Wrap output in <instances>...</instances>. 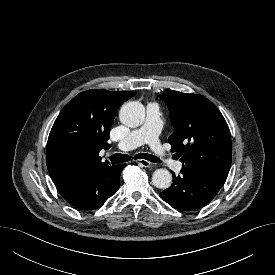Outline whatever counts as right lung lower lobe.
<instances>
[{
    "label": "right lung lower lobe",
    "instance_id": "1",
    "mask_svg": "<svg viewBox=\"0 0 275 275\" xmlns=\"http://www.w3.org/2000/svg\"><path fill=\"white\" fill-rule=\"evenodd\" d=\"M125 166H105L86 176L58 184L57 189L72 206L81 210L97 209L118 190L120 173Z\"/></svg>",
    "mask_w": 275,
    "mask_h": 275
}]
</instances>
